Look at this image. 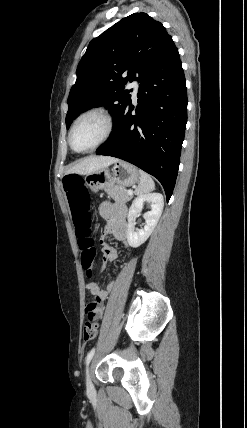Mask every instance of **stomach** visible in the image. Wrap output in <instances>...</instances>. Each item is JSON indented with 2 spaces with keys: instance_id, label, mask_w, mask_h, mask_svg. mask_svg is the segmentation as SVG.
Returning a JSON list of instances; mask_svg holds the SVG:
<instances>
[{
  "instance_id": "obj_1",
  "label": "stomach",
  "mask_w": 247,
  "mask_h": 428,
  "mask_svg": "<svg viewBox=\"0 0 247 428\" xmlns=\"http://www.w3.org/2000/svg\"><path fill=\"white\" fill-rule=\"evenodd\" d=\"M84 180L91 191L98 192L114 186V184L134 185L139 180V171L134 165L118 160L111 169L104 167L86 174Z\"/></svg>"
}]
</instances>
